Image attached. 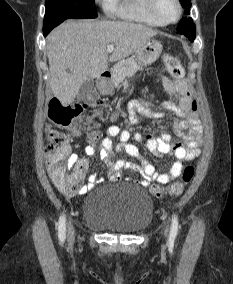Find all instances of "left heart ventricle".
Returning <instances> with one entry per match:
<instances>
[{
	"label": "left heart ventricle",
	"mask_w": 233,
	"mask_h": 284,
	"mask_svg": "<svg viewBox=\"0 0 233 284\" xmlns=\"http://www.w3.org/2000/svg\"><path fill=\"white\" fill-rule=\"evenodd\" d=\"M158 10L161 17L166 20H172L177 14V7L173 0H159Z\"/></svg>",
	"instance_id": "b2bd125f"
}]
</instances>
